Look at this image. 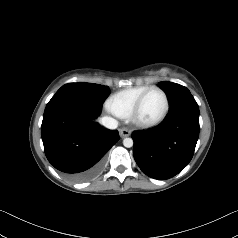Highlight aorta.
<instances>
[{
	"label": "aorta",
	"instance_id": "aorta-1",
	"mask_svg": "<svg viewBox=\"0 0 238 238\" xmlns=\"http://www.w3.org/2000/svg\"><path fill=\"white\" fill-rule=\"evenodd\" d=\"M133 144H134V142H133V139H132V138H125V139L123 140V145H124L126 148L132 147Z\"/></svg>",
	"mask_w": 238,
	"mask_h": 238
}]
</instances>
